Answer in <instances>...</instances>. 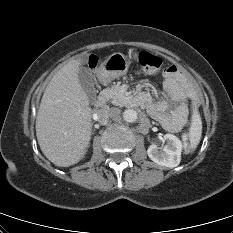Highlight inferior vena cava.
Instances as JSON below:
<instances>
[{
	"mask_svg": "<svg viewBox=\"0 0 233 233\" xmlns=\"http://www.w3.org/2000/svg\"><path fill=\"white\" fill-rule=\"evenodd\" d=\"M116 114V111L111 110L109 107L105 106L98 110L97 113V121L102 124L106 125L109 121V117H112Z\"/></svg>",
	"mask_w": 233,
	"mask_h": 233,
	"instance_id": "1",
	"label": "inferior vena cava"
}]
</instances>
